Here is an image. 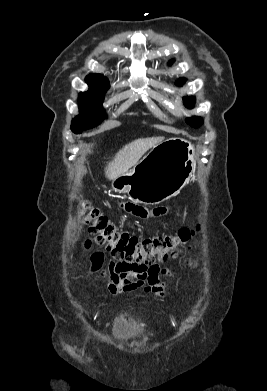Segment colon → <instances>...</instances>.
<instances>
[{"mask_svg": "<svg viewBox=\"0 0 267 391\" xmlns=\"http://www.w3.org/2000/svg\"><path fill=\"white\" fill-rule=\"evenodd\" d=\"M79 211L98 245H103L120 263L141 266L146 270L157 269L160 263L177 257L180 246L188 243L196 231L194 228L183 227L175 235L142 240L117 230L106 215L87 201L79 202ZM90 244L88 240L86 247Z\"/></svg>", "mask_w": 267, "mask_h": 391, "instance_id": "obj_1", "label": "colon"}]
</instances>
